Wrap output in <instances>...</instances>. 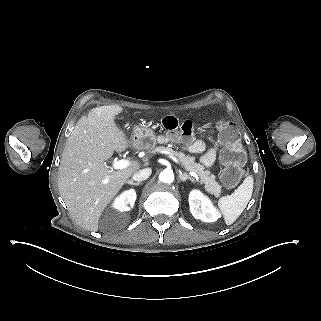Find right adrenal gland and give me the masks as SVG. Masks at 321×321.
Here are the masks:
<instances>
[{
	"mask_svg": "<svg viewBox=\"0 0 321 321\" xmlns=\"http://www.w3.org/2000/svg\"><path fill=\"white\" fill-rule=\"evenodd\" d=\"M125 183L130 185H135V186H139L142 184V182H133L132 179L125 181Z\"/></svg>",
	"mask_w": 321,
	"mask_h": 321,
	"instance_id": "1",
	"label": "right adrenal gland"
}]
</instances>
